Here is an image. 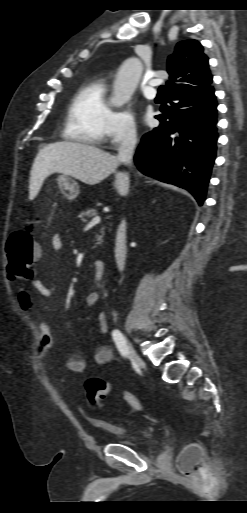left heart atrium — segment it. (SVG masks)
Segmentation results:
<instances>
[{"label":"left heart atrium","instance_id":"obj_1","mask_svg":"<svg viewBox=\"0 0 247 513\" xmlns=\"http://www.w3.org/2000/svg\"><path fill=\"white\" fill-rule=\"evenodd\" d=\"M144 120L149 122L151 120V113L147 112L145 115H144Z\"/></svg>","mask_w":247,"mask_h":513}]
</instances>
